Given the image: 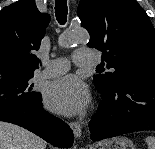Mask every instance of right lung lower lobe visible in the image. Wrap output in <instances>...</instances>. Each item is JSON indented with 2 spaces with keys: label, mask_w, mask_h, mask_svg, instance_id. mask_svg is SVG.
I'll return each instance as SVG.
<instances>
[{
  "label": "right lung lower lobe",
  "mask_w": 155,
  "mask_h": 149,
  "mask_svg": "<svg viewBox=\"0 0 155 149\" xmlns=\"http://www.w3.org/2000/svg\"><path fill=\"white\" fill-rule=\"evenodd\" d=\"M0 121L26 128L56 147L68 148L74 141L71 128L43 109L42 98L27 111L0 109Z\"/></svg>",
  "instance_id": "98d812e1"
}]
</instances>
